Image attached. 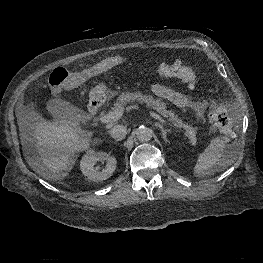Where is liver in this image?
Instances as JSON below:
<instances>
[{"mask_svg":"<svg viewBox=\"0 0 263 263\" xmlns=\"http://www.w3.org/2000/svg\"><path fill=\"white\" fill-rule=\"evenodd\" d=\"M16 116L23 147L27 148L31 136L39 152V159L27 157V160L44 179L55 181L64 178L75 164L77 154L91 144V133L75 124H58L43 119L32 123L30 117L18 110Z\"/></svg>","mask_w":263,"mask_h":263,"instance_id":"6515ba94","label":"liver"}]
</instances>
